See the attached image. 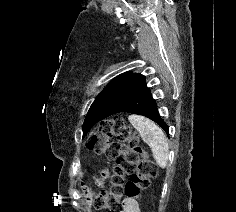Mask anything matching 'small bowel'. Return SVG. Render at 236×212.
<instances>
[{
    "mask_svg": "<svg viewBox=\"0 0 236 212\" xmlns=\"http://www.w3.org/2000/svg\"><path fill=\"white\" fill-rule=\"evenodd\" d=\"M121 212H140L138 204L133 199H125L123 201V211Z\"/></svg>",
    "mask_w": 236,
    "mask_h": 212,
    "instance_id": "small-bowel-1",
    "label": "small bowel"
}]
</instances>
